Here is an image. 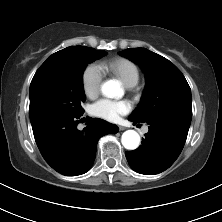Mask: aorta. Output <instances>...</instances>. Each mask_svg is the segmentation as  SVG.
I'll use <instances>...</instances> for the list:
<instances>
[{
  "label": "aorta",
  "mask_w": 222,
  "mask_h": 222,
  "mask_svg": "<svg viewBox=\"0 0 222 222\" xmlns=\"http://www.w3.org/2000/svg\"><path fill=\"white\" fill-rule=\"evenodd\" d=\"M102 94L109 98L120 96L122 88L118 81L108 80L101 86ZM122 145L128 150H135L140 143V136L134 130H127L122 134Z\"/></svg>",
  "instance_id": "1"
}]
</instances>
